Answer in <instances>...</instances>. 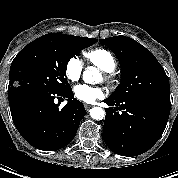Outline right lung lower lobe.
<instances>
[{
  "mask_svg": "<svg viewBox=\"0 0 178 178\" xmlns=\"http://www.w3.org/2000/svg\"><path fill=\"white\" fill-rule=\"evenodd\" d=\"M58 100L68 98L59 108ZM72 89L39 91L15 89L8 92L11 115L21 136L33 147L55 151L67 146L75 137L82 118L84 105L73 98Z\"/></svg>",
  "mask_w": 178,
  "mask_h": 178,
  "instance_id": "right-lung-lower-lobe-1",
  "label": "right lung lower lobe"
}]
</instances>
